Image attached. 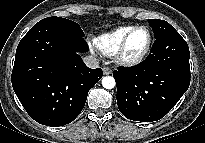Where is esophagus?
<instances>
[{
  "label": "esophagus",
  "instance_id": "esophagus-1",
  "mask_svg": "<svg viewBox=\"0 0 205 143\" xmlns=\"http://www.w3.org/2000/svg\"><path fill=\"white\" fill-rule=\"evenodd\" d=\"M102 70L104 75H109L112 73V70L109 67H103Z\"/></svg>",
  "mask_w": 205,
  "mask_h": 143
}]
</instances>
